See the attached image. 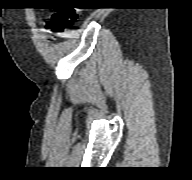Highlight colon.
<instances>
[{
  "label": "colon",
  "instance_id": "obj_1",
  "mask_svg": "<svg viewBox=\"0 0 192 180\" xmlns=\"http://www.w3.org/2000/svg\"><path fill=\"white\" fill-rule=\"evenodd\" d=\"M79 10L76 8L57 10L51 18V26L56 33H62L70 28L77 20Z\"/></svg>",
  "mask_w": 192,
  "mask_h": 180
}]
</instances>
